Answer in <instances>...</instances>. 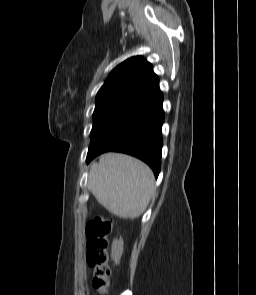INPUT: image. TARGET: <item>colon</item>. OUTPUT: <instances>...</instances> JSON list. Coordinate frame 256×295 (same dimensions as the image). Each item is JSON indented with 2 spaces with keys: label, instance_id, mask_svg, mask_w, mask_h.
Listing matches in <instances>:
<instances>
[{
  "label": "colon",
  "instance_id": "colon-1",
  "mask_svg": "<svg viewBox=\"0 0 256 295\" xmlns=\"http://www.w3.org/2000/svg\"><path fill=\"white\" fill-rule=\"evenodd\" d=\"M113 220L106 216H96L86 225L88 264L93 268L92 287L94 295H108L111 269L109 265L110 235Z\"/></svg>",
  "mask_w": 256,
  "mask_h": 295
}]
</instances>
